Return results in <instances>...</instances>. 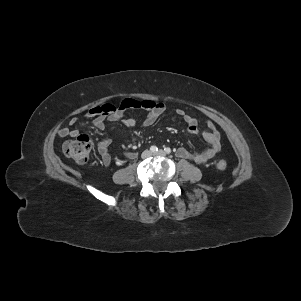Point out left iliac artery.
Masks as SVG:
<instances>
[{"label": "left iliac artery", "mask_w": 301, "mask_h": 301, "mask_svg": "<svg viewBox=\"0 0 301 301\" xmlns=\"http://www.w3.org/2000/svg\"><path fill=\"white\" fill-rule=\"evenodd\" d=\"M164 150H165V152H166L167 154H170V153H171V149H170L169 147L165 148Z\"/></svg>", "instance_id": "obj_1"}]
</instances>
